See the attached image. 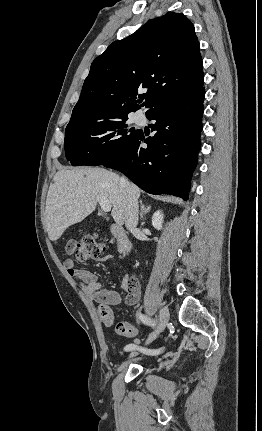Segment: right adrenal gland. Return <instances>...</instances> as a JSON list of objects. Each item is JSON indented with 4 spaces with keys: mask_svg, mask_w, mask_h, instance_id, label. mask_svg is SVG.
<instances>
[{
    "mask_svg": "<svg viewBox=\"0 0 262 431\" xmlns=\"http://www.w3.org/2000/svg\"><path fill=\"white\" fill-rule=\"evenodd\" d=\"M140 220H143L144 214L148 213L150 211L151 206L145 207L142 200H140Z\"/></svg>",
    "mask_w": 262,
    "mask_h": 431,
    "instance_id": "obj_1",
    "label": "right adrenal gland"
}]
</instances>
